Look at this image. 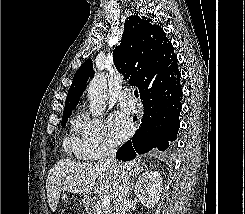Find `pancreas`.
Segmentation results:
<instances>
[{
  "instance_id": "pancreas-1",
  "label": "pancreas",
  "mask_w": 245,
  "mask_h": 214,
  "mask_svg": "<svg viewBox=\"0 0 245 214\" xmlns=\"http://www.w3.org/2000/svg\"><path fill=\"white\" fill-rule=\"evenodd\" d=\"M93 214H113L112 208L103 207L100 202H95L93 207Z\"/></svg>"
}]
</instances>
